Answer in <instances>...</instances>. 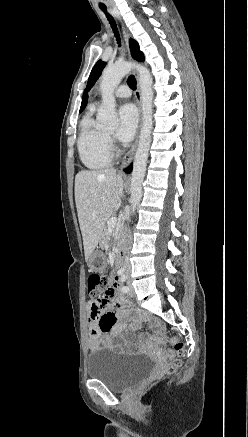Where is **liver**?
<instances>
[{
    "instance_id": "liver-1",
    "label": "liver",
    "mask_w": 248,
    "mask_h": 437,
    "mask_svg": "<svg viewBox=\"0 0 248 437\" xmlns=\"http://www.w3.org/2000/svg\"><path fill=\"white\" fill-rule=\"evenodd\" d=\"M124 180L116 170H82L75 177V203L88 260L104 236L105 223L123 195Z\"/></svg>"
}]
</instances>
